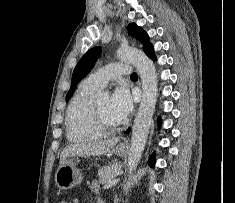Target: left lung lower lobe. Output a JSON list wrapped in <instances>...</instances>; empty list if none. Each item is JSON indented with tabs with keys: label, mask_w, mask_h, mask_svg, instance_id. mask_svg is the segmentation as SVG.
<instances>
[{
	"label": "left lung lower lobe",
	"mask_w": 235,
	"mask_h": 203,
	"mask_svg": "<svg viewBox=\"0 0 235 203\" xmlns=\"http://www.w3.org/2000/svg\"><path fill=\"white\" fill-rule=\"evenodd\" d=\"M145 53L153 60H155V55H154V49H153V46H151L147 51H145ZM130 131V129H128L126 131V134H128ZM148 164L151 166V167H154V164H155V155L152 154L151 157L149 158V161H148Z\"/></svg>",
	"instance_id": "0a47b994"
}]
</instances>
